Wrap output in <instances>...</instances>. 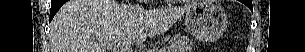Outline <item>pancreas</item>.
<instances>
[{"label":"pancreas","mask_w":305,"mask_h":52,"mask_svg":"<svg viewBox=\"0 0 305 52\" xmlns=\"http://www.w3.org/2000/svg\"><path fill=\"white\" fill-rule=\"evenodd\" d=\"M193 40L186 36L175 35L168 40L169 52H191Z\"/></svg>","instance_id":"1"}]
</instances>
